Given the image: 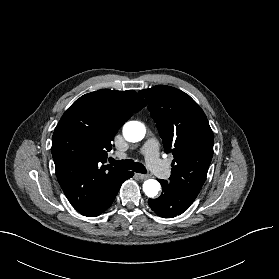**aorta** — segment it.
I'll return each mask as SVG.
<instances>
[{"label": "aorta", "mask_w": 279, "mask_h": 279, "mask_svg": "<svg viewBox=\"0 0 279 279\" xmlns=\"http://www.w3.org/2000/svg\"><path fill=\"white\" fill-rule=\"evenodd\" d=\"M146 133L145 126L138 121H129L123 126V136L129 142L141 141ZM160 183L154 179H148L143 184L144 193L150 197H155L160 190Z\"/></svg>", "instance_id": "762f6f07"}]
</instances>
